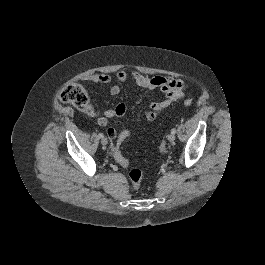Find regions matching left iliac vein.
<instances>
[{
    "label": "left iliac vein",
    "mask_w": 265,
    "mask_h": 265,
    "mask_svg": "<svg viewBox=\"0 0 265 265\" xmlns=\"http://www.w3.org/2000/svg\"><path fill=\"white\" fill-rule=\"evenodd\" d=\"M175 138H176L175 134L171 133L170 135H168L167 139H168L169 142H174Z\"/></svg>",
    "instance_id": "4c4485c4"
}]
</instances>
